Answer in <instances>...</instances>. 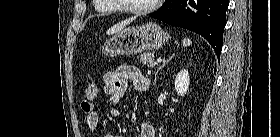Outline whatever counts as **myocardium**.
Here are the masks:
<instances>
[{"instance_id":"f54148a6","label":"myocardium","mask_w":280,"mask_h":137,"mask_svg":"<svg viewBox=\"0 0 280 137\" xmlns=\"http://www.w3.org/2000/svg\"><path fill=\"white\" fill-rule=\"evenodd\" d=\"M162 2L161 0H154L153 3L147 7H142V8H130V7H125V6H118L120 11L128 13V14H148L152 11H154L158 5Z\"/></svg>"}]
</instances>
